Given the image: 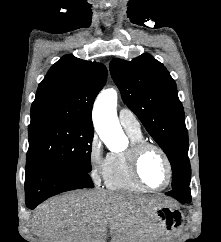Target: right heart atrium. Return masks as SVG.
<instances>
[{
  "label": "right heart atrium",
  "instance_id": "obj_1",
  "mask_svg": "<svg viewBox=\"0 0 221 242\" xmlns=\"http://www.w3.org/2000/svg\"><path fill=\"white\" fill-rule=\"evenodd\" d=\"M90 175L95 184L103 178L107 156L104 155L102 143L96 133L92 134L87 148Z\"/></svg>",
  "mask_w": 221,
  "mask_h": 242
}]
</instances>
